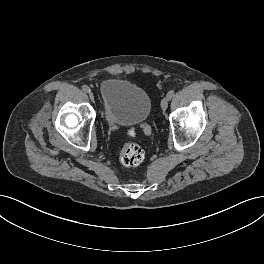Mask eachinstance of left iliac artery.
Instances as JSON below:
<instances>
[{
    "label": "left iliac artery",
    "mask_w": 264,
    "mask_h": 264,
    "mask_svg": "<svg viewBox=\"0 0 264 264\" xmlns=\"http://www.w3.org/2000/svg\"><path fill=\"white\" fill-rule=\"evenodd\" d=\"M174 95H175L174 90H170V91L167 93V98H168V99H172V98L174 97Z\"/></svg>",
    "instance_id": "1"
}]
</instances>
